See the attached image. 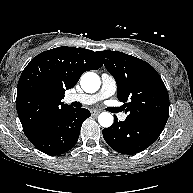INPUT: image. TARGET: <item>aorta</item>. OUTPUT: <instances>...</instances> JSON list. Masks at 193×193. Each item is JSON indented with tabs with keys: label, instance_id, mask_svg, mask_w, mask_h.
<instances>
[{
	"label": "aorta",
	"instance_id": "aorta-1",
	"mask_svg": "<svg viewBox=\"0 0 193 193\" xmlns=\"http://www.w3.org/2000/svg\"><path fill=\"white\" fill-rule=\"evenodd\" d=\"M80 85L87 93H94L99 90L100 77L94 72H86L81 76ZM114 118L109 112H102L98 116V122L102 127L108 128L113 124Z\"/></svg>",
	"mask_w": 193,
	"mask_h": 193
}]
</instances>
